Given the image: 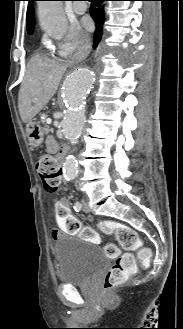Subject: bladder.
I'll return each instance as SVG.
<instances>
[{"instance_id":"bladder-1","label":"bladder","mask_w":183,"mask_h":329,"mask_svg":"<svg viewBox=\"0 0 183 329\" xmlns=\"http://www.w3.org/2000/svg\"><path fill=\"white\" fill-rule=\"evenodd\" d=\"M58 280L65 284L85 285L104 273L109 259L103 250L75 235L59 237L53 244Z\"/></svg>"}]
</instances>
